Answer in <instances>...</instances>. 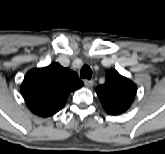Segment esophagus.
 I'll list each match as a JSON object with an SVG mask.
<instances>
[{
  "label": "esophagus",
  "mask_w": 165,
  "mask_h": 154,
  "mask_svg": "<svg viewBox=\"0 0 165 154\" xmlns=\"http://www.w3.org/2000/svg\"><path fill=\"white\" fill-rule=\"evenodd\" d=\"M84 84H85L86 87L91 88L93 86V81L85 79Z\"/></svg>",
  "instance_id": "1"
}]
</instances>
